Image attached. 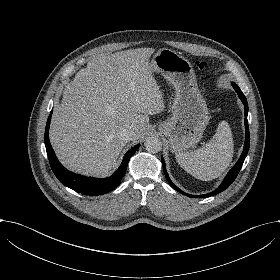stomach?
I'll return each mask as SVG.
<instances>
[{
    "label": "stomach",
    "instance_id": "1",
    "mask_svg": "<svg viewBox=\"0 0 280 280\" xmlns=\"http://www.w3.org/2000/svg\"><path fill=\"white\" fill-rule=\"evenodd\" d=\"M151 74H161L175 88L170 120L159 125L173 152H183L200 142L209 112L190 62L174 50H158L150 62Z\"/></svg>",
    "mask_w": 280,
    "mask_h": 280
}]
</instances>
